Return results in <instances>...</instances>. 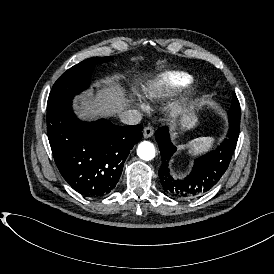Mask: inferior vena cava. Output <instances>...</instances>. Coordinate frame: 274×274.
Masks as SVG:
<instances>
[{"label": "inferior vena cava", "mask_w": 274, "mask_h": 274, "mask_svg": "<svg viewBox=\"0 0 274 274\" xmlns=\"http://www.w3.org/2000/svg\"><path fill=\"white\" fill-rule=\"evenodd\" d=\"M119 119L122 123L126 125H137L139 124L143 116L137 110H124L119 114Z\"/></svg>", "instance_id": "1"}]
</instances>
